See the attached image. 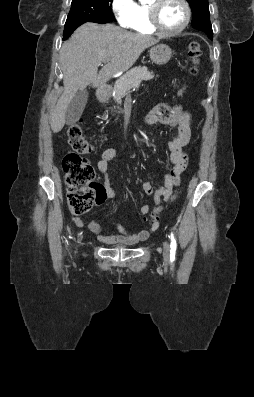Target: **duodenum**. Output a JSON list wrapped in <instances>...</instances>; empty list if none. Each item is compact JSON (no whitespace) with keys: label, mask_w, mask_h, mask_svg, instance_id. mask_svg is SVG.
Here are the masks:
<instances>
[{"label":"duodenum","mask_w":254,"mask_h":397,"mask_svg":"<svg viewBox=\"0 0 254 397\" xmlns=\"http://www.w3.org/2000/svg\"><path fill=\"white\" fill-rule=\"evenodd\" d=\"M98 94H99V96H104L105 94H106V87L105 86H103V87H101L100 89H99V91H98Z\"/></svg>","instance_id":"obj_1"}]
</instances>
